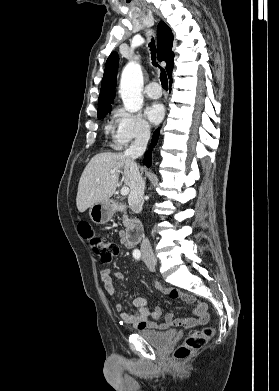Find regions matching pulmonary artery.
I'll return each instance as SVG.
<instances>
[{"instance_id": "pulmonary-artery-1", "label": "pulmonary artery", "mask_w": 279, "mask_h": 391, "mask_svg": "<svg viewBox=\"0 0 279 391\" xmlns=\"http://www.w3.org/2000/svg\"><path fill=\"white\" fill-rule=\"evenodd\" d=\"M145 94L150 98L157 99L161 97L162 90L160 89L158 83L151 82L147 85L145 89Z\"/></svg>"}]
</instances>
